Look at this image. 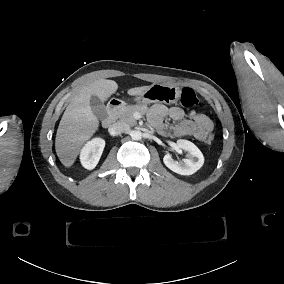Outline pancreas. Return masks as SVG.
I'll use <instances>...</instances> for the list:
<instances>
[{"instance_id":"1","label":"pancreas","mask_w":284,"mask_h":284,"mask_svg":"<svg viewBox=\"0 0 284 284\" xmlns=\"http://www.w3.org/2000/svg\"><path fill=\"white\" fill-rule=\"evenodd\" d=\"M148 111L147 105H132V106H125L120 109L117 113V117L120 121L129 124L130 126H135L137 121L133 117L135 112L140 113L141 115L146 114Z\"/></svg>"}]
</instances>
